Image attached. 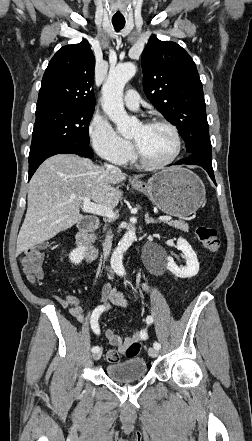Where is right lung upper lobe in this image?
<instances>
[{
  "instance_id": "obj_1",
  "label": "right lung upper lobe",
  "mask_w": 252,
  "mask_h": 441,
  "mask_svg": "<svg viewBox=\"0 0 252 441\" xmlns=\"http://www.w3.org/2000/svg\"><path fill=\"white\" fill-rule=\"evenodd\" d=\"M95 57L88 42L63 46L46 68L37 107L67 105L95 107Z\"/></svg>"
}]
</instances>
